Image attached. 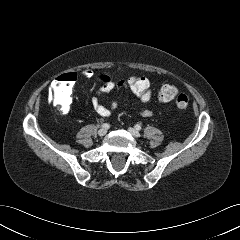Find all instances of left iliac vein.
Returning a JSON list of instances; mask_svg holds the SVG:
<instances>
[{"instance_id":"4c4485c4","label":"left iliac vein","mask_w":240,"mask_h":240,"mask_svg":"<svg viewBox=\"0 0 240 240\" xmlns=\"http://www.w3.org/2000/svg\"><path fill=\"white\" fill-rule=\"evenodd\" d=\"M128 131H129V133H130L133 137H135V138H139V137H140V133H139L136 129H134V128H129Z\"/></svg>"}]
</instances>
